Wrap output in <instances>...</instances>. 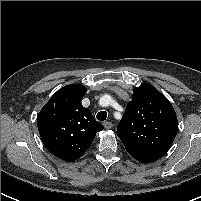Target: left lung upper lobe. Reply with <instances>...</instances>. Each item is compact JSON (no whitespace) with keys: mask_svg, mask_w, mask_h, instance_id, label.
<instances>
[{"mask_svg":"<svg viewBox=\"0 0 201 201\" xmlns=\"http://www.w3.org/2000/svg\"><path fill=\"white\" fill-rule=\"evenodd\" d=\"M178 131L176 113L169 100L154 86L142 83L117 127L126 151L142 163L153 162L171 147Z\"/></svg>","mask_w":201,"mask_h":201,"instance_id":"1","label":"left lung upper lobe"}]
</instances>
